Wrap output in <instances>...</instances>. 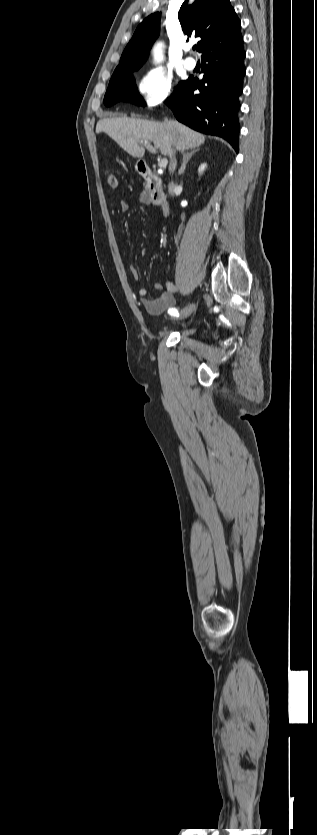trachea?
Returning a JSON list of instances; mask_svg holds the SVG:
<instances>
[{
	"label": "trachea",
	"instance_id": "3493384b",
	"mask_svg": "<svg viewBox=\"0 0 317 835\" xmlns=\"http://www.w3.org/2000/svg\"><path fill=\"white\" fill-rule=\"evenodd\" d=\"M195 49H196V46L193 47V50H195Z\"/></svg>",
	"mask_w": 317,
	"mask_h": 835
}]
</instances>
